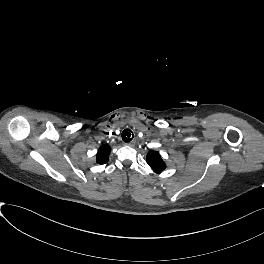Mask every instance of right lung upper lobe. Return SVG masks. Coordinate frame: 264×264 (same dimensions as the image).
Instances as JSON below:
<instances>
[{
  "label": "right lung upper lobe",
  "instance_id": "obj_1",
  "mask_svg": "<svg viewBox=\"0 0 264 264\" xmlns=\"http://www.w3.org/2000/svg\"><path fill=\"white\" fill-rule=\"evenodd\" d=\"M111 148L108 145H103L99 148L98 153L96 155V162L99 164H104L109 160Z\"/></svg>",
  "mask_w": 264,
  "mask_h": 264
}]
</instances>
